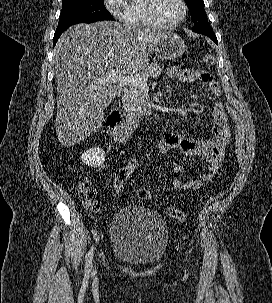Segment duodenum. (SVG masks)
Instances as JSON below:
<instances>
[{"label":"duodenum","instance_id":"obj_1","mask_svg":"<svg viewBox=\"0 0 272 303\" xmlns=\"http://www.w3.org/2000/svg\"><path fill=\"white\" fill-rule=\"evenodd\" d=\"M122 95V90L118 87L116 91L118 102L112 108L104 125V132L118 142H123L129 138L141 117L140 111L124 108Z\"/></svg>","mask_w":272,"mask_h":303}]
</instances>
